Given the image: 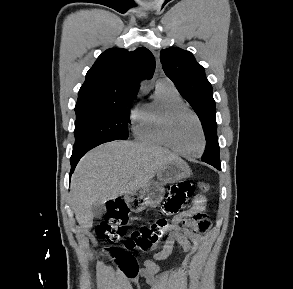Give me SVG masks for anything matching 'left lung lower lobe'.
Returning <instances> with one entry per match:
<instances>
[{
  "label": "left lung lower lobe",
  "instance_id": "left-lung-lower-lobe-1",
  "mask_svg": "<svg viewBox=\"0 0 293 289\" xmlns=\"http://www.w3.org/2000/svg\"><path fill=\"white\" fill-rule=\"evenodd\" d=\"M206 141H207V143H206V149H205V151H208L212 147H214L215 145H217V140L215 138H210L209 140H206ZM212 166H214L218 170H221V165L220 164H213Z\"/></svg>",
  "mask_w": 293,
  "mask_h": 289
}]
</instances>
